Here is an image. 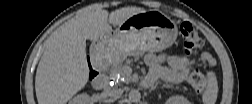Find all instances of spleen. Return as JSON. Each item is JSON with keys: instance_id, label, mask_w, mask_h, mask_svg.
I'll use <instances>...</instances> for the list:
<instances>
[{"instance_id": "spleen-1", "label": "spleen", "mask_w": 252, "mask_h": 104, "mask_svg": "<svg viewBox=\"0 0 252 104\" xmlns=\"http://www.w3.org/2000/svg\"><path fill=\"white\" fill-rule=\"evenodd\" d=\"M218 95V83L215 73L210 71L207 73V86L203 92L202 100L205 104H214Z\"/></svg>"}]
</instances>
